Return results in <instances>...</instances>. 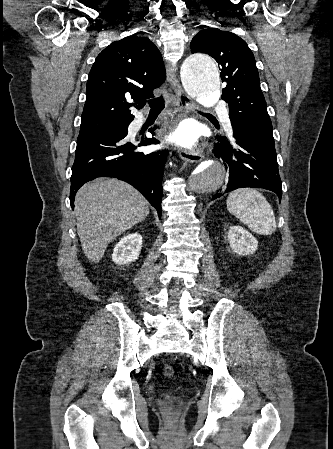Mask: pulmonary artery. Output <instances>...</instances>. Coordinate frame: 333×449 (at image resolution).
I'll return each mask as SVG.
<instances>
[{"mask_svg":"<svg viewBox=\"0 0 333 449\" xmlns=\"http://www.w3.org/2000/svg\"><path fill=\"white\" fill-rule=\"evenodd\" d=\"M225 119H226L227 124L229 125V119H228L227 115H225ZM140 122H141V120H140Z\"/></svg>","mask_w":333,"mask_h":449,"instance_id":"e3ab8cb5","label":"pulmonary artery"}]
</instances>
